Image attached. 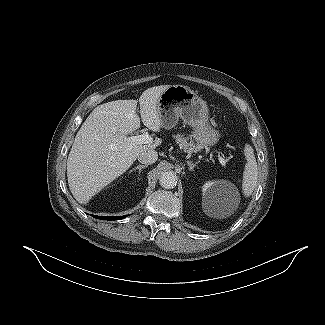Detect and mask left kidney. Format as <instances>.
I'll return each mask as SVG.
<instances>
[{"instance_id": "5707ae66", "label": "left kidney", "mask_w": 325, "mask_h": 325, "mask_svg": "<svg viewBox=\"0 0 325 325\" xmlns=\"http://www.w3.org/2000/svg\"><path fill=\"white\" fill-rule=\"evenodd\" d=\"M231 184L227 181H208L202 186L203 201L223 207V200L226 199Z\"/></svg>"}]
</instances>
